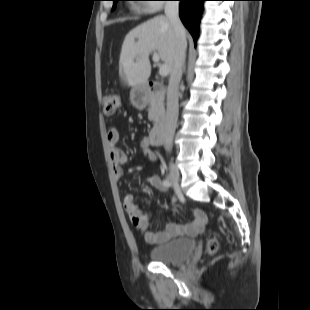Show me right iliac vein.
<instances>
[{"mask_svg": "<svg viewBox=\"0 0 310 310\" xmlns=\"http://www.w3.org/2000/svg\"><path fill=\"white\" fill-rule=\"evenodd\" d=\"M169 178L170 180L178 185L179 181H180V173L178 168L176 167V165L174 163H170L169 164Z\"/></svg>", "mask_w": 310, "mask_h": 310, "instance_id": "obj_1", "label": "right iliac vein"}]
</instances>
